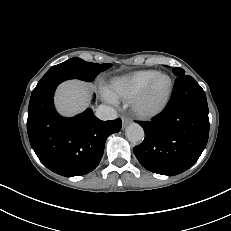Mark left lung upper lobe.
Here are the masks:
<instances>
[{"instance_id":"left-lung-upper-lobe-1","label":"left lung upper lobe","mask_w":231,"mask_h":231,"mask_svg":"<svg viewBox=\"0 0 231 231\" xmlns=\"http://www.w3.org/2000/svg\"><path fill=\"white\" fill-rule=\"evenodd\" d=\"M173 73H174L177 77H179V76L184 75L185 71H184L183 69H181V68H174V69H173Z\"/></svg>"}]
</instances>
